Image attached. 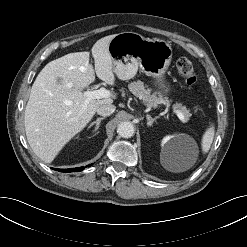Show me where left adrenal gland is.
<instances>
[{
  "label": "left adrenal gland",
  "mask_w": 247,
  "mask_h": 247,
  "mask_svg": "<svg viewBox=\"0 0 247 247\" xmlns=\"http://www.w3.org/2000/svg\"><path fill=\"white\" fill-rule=\"evenodd\" d=\"M156 118H157V117L152 118L150 115H147V116H146V119H147V126H148V127H149V126H152V124H153L154 122H156Z\"/></svg>",
  "instance_id": "left-adrenal-gland-1"
}]
</instances>
